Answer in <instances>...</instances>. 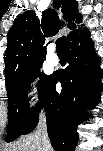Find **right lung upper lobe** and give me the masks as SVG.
I'll return each mask as SVG.
<instances>
[{"mask_svg": "<svg viewBox=\"0 0 103 151\" xmlns=\"http://www.w3.org/2000/svg\"><path fill=\"white\" fill-rule=\"evenodd\" d=\"M59 4L63 19L68 28L72 30L67 36V40L71 42L87 28L78 25L82 18L78 14L77 3L74 0H60ZM54 7L58 9L56 5ZM63 25L64 23L59 20L54 9L45 10L41 20L32 10H27L17 16L7 35L8 45L5 51L6 88L23 72L43 62L46 55V49L43 47L45 36L56 35Z\"/></svg>", "mask_w": 103, "mask_h": 151, "instance_id": "1", "label": "right lung upper lobe"}]
</instances>
